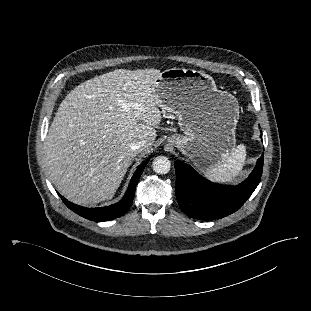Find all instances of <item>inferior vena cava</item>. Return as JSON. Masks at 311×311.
<instances>
[{
    "label": "inferior vena cava",
    "instance_id": "1",
    "mask_svg": "<svg viewBox=\"0 0 311 311\" xmlns=\"http://www.w3.org/2000/svg\"><path fill=\"white\" fill-rule=\"evenodd\" d=\"M145 145V141L142 140V141H137V142H134V143H131L130 145V148L131 150L135 151V152H138L142 149V147Z\"/></svg>",
    "mask_w": 311,
    "mask_h": 311
}]
</instances>
